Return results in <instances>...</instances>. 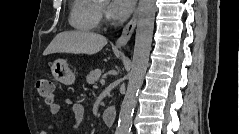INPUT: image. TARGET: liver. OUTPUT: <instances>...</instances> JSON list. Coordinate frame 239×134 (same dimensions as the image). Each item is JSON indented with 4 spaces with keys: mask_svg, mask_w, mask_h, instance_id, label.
Instances as JSON below:
<instances>
[{
    "mask_svg": "<svg viewBox=\"0 0 239 134\" xmlns=\"http://www.w3.org/2000/svg\"><path fill=\"white\" fill-rule=\"evenodd\" d=\"M106 44L107 39L94 32H61L55 36L43 54L71 53L92 55L99 52Z\"/></svg>",
    "mask_w": 239,
    "mask_h": 134,
    "instance_id": "liver-1",
    "label": "liver"
}]
</instances>
